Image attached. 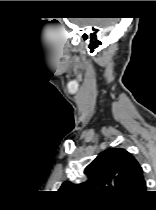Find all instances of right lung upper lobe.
Instances as JSON below:
<instances>
[{"label": "right lung upper lobe", "instance_id": "right-lung-upper-lobe-1", "mask_svg": "<svg viewBox=\"0 0 156 210\" xmlns=\"http://www.w3.org/2000/svg\"><path fill=\"white\" fill-rule=\"evenodd\" d=\"M79 184L65 181L60 190L87 200L131 201L146 191L143 170L132 154L122 148L100 153L84 170Z\"/></svg>", "mask_w": 156, "mask_h": 210}]
</instances>
